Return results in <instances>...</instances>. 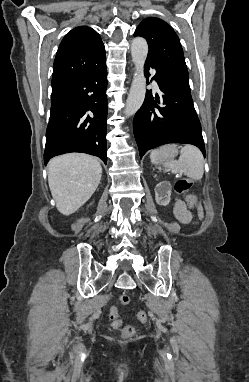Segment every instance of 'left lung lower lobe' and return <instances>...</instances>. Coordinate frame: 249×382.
I'll list each match as a JSON object with an SVG mask.
<instances>
[{
  "label": "left lung lower lobe",
  "mask_w": 249,
  "mask_h": 382,
  "mask_svg": "<svg viewBox=\"0 0 249 382\" xmlns=\"http://www.w3.org/2000/svg\"><path fill=\"white\" fill-rule=\"evenodd\" d=\"M150 68L156 71L153 79L160 92L153 95L151 90L146 91L144 103L133 120L140 157L148 150L168 143L195 145L205 156L201 124L194 109L190 87L171 78L147 59L146 76L150 75Z\"/></svg>",
  "instance_id": "1"
}]
</instances>
